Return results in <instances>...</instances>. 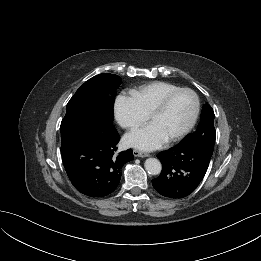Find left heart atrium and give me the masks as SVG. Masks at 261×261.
I'll list each match as a JSON object with an SVG mask.
<instances>
[{
    "mask_svg": "<svg viewBox=\"0 0 261 261\" xmlns=\"http://www.w3.org/2000/svg\"><path fill=\"white\" fill-rule=\"evenodd\" d=\"M167 139V136L157 125L150 123L126 135L125 143L143 151H151L161 147Z\"/></svg>",
    "mask_w": 261,
    "mask_h": 261,
    "instance_id": "left-heart-atrium-1",
    "label": "left heart atrium"
}]
</instances>
